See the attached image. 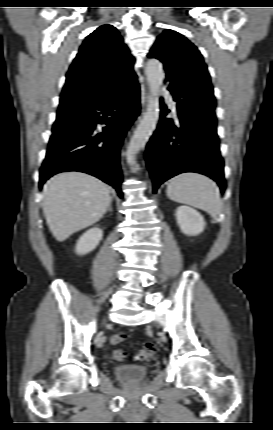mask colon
I'll list each match as a JSON object with an SVG mask.
<instances>
[{
    "instance_id": "1",
    "label": "colon",
    "mask_w": 273,
    "mask_h": 430,
    "mask_svg": "<svg viewBox=\"0 0 273 430\" xmlns=\"http://www.w3.org/2000/svg\"><path fill=\"white\" fill-rule=\"evenodd\" d=\"M127 338V335L123 332L113 335L110 339L111 343L116 345L123 342ZM155 353V348L152 344H146L143 346L136 354L135 358L139 361H144L151 358ZM113 357L116 360H122L124 357V352L117 349L113 352Z\"/></svg>"
}]
</instances>
